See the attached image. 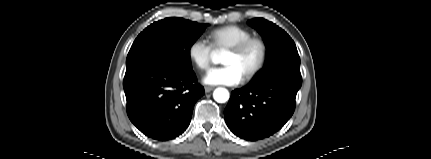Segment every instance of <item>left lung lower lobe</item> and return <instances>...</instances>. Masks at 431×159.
Segmentation results:
<instances>
[{"instance_id": "0a47b994", "label": "left lung lower lobe", "mask_w": 431, "mask_h": 159, "mask_svg": "<svg viewBox=\"0 0 431 159\" xmlns=\"http://www.w3.org/2000/svg\"><path fill=\"white\" fill-rule=\"evenodd\" d=\"M302 78L279 74L231 93L224 111L228 128L247 141L267 138L293 115Z\"/></svg>"}]
</instances>
